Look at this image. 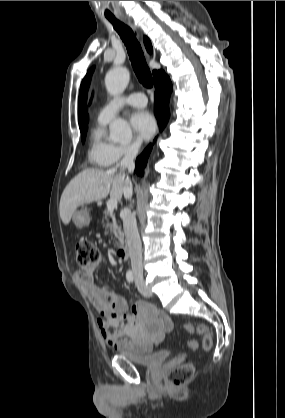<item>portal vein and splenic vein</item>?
Wrapping results in <instances>:
<instances>
[{
	"instance_id": "portal-vein-and-splenic-vein-1",
	"label": "portal vein and splenic vein",
	"mask_w": 285,
	"mask_h": 418,
	"mask_svg": "<svg viewBox=\"0 0 285 418\" xmlns=\"http://www.w3.org/2000/svg\"><path fill=\"white\" fill-rule=\"evenodd\" d=\"M117 207V200L110 199L107 202V210L109 213H113L114 209Z\"/></svg>"
}]
</instances>
